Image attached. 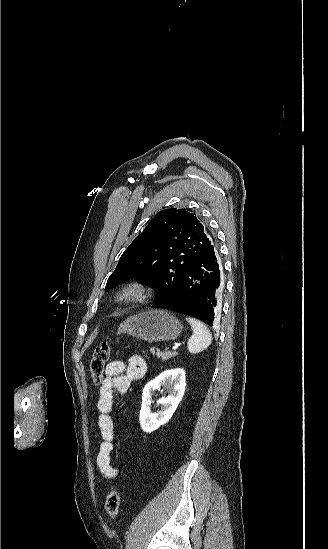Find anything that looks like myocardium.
I'll return each mask as SVG.
<instances>
[{"label": "myocardium", "mask_w": 328, "mask_h": 549, "mask_svg": "<svg viewBox=\"0 0 328 549\" xmlns=\"http://www.w3.org/2000/svg\"><path fill=\"white\" fill-rule=\"evenodd\" d=\"M150 294L149 286L138 279L123 283L112 295V300L119 305H130L145 300Z\"/></svg>", "instance_id": "1"}]
</instances>
